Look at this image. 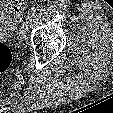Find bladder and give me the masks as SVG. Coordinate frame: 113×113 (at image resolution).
I'll use <instances>...</instances> for the list:
<instances>
[{
    "instance_id": "obj_1",
    "label": "bladder",
    "mask_w": 113,
    "mask_h": 113,
    "mask_svg": "<svg viewBox=\"0 0 113 113\" xmlns=\"http://www.w3.org/2000/svg\"><path fill=\"white\" fill-rule=\"evenodd\" d=\"M13 29V23L5 16H0V40L7 38Z\"/></svg>"
}]
</instances>
